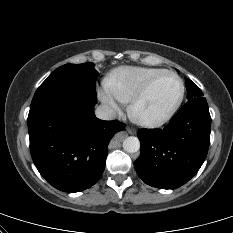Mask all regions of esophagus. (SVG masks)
<instances>
[{
	"instance_id": "obj_1",
	"label": "esophagus",
	"mask_w": 233,
	"mask_h": 233,
	"mask_svg": "<svg viewBox=\"0 0 233 233\" xmlns=\"http://www.w3.org/2000/svg\"><path fill=\"white\" fill-rule=\"evenodd\" d=\"M126 130L128 131L129 134H135V131L130 127H127Z\"/></svg>"
}]
</instances>
